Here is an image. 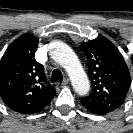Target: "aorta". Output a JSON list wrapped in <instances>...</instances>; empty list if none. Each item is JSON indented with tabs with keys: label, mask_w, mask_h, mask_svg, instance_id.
<instances>
[{
	"label": "aorta",
	"mask_w": 133,
	"mask_h": 133,
	"mask_svg": "<svg viewBox=\"0 0 133 133\" xmlns=\"http://www.w3.org/2000/svg\"><path fill=\"white\" fill-rule=\"evenodd\" d=\"M49 49L51 58L68 73L75 92L86 95L90 90V83L75 52L61 41L51 42Z\"/></svg>",
	"instance_id": "aorta-1"
}]
</instances>
